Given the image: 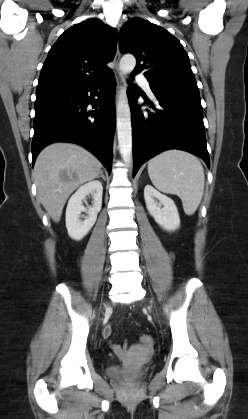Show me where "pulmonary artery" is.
<instances>
[{"mask_svg": "<svg viewBox=\"0 0 248 419\" xmlns=\"http://www.w3.org/2000/svg\"><path fill=\"white\" fill-rule=\"evenodd\" d=\"M136 81L144 87L149 95H153L150 88V82L142 74L136 75Z\"/></svg>", "mask_w": 248, "mask_h": 419, "instance_id": "e3ab8cb5", "label": "pulmonary artery"}]
</instances>
